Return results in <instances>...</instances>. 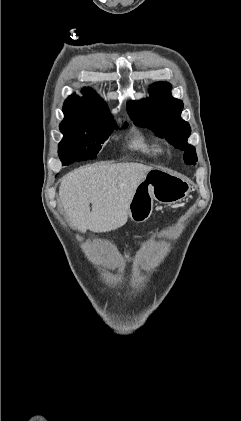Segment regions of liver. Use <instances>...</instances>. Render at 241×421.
Wrapping results in <instances>:
<instances>
[{"mask_svg":"<svg viewBox=\"0 0 241 421\" xmlns=\"http://www.w3.org/2000/svg\"><path fill=\"white\" fill-rule=\"evenodd\" d=\"M152 169L134 162L80 167L62 178L60 203L70 222L83 233L116 230L126 223L130 200Z\"/></svg>","mask_w":241,"mask_h":421,"instance_id":"obj_1","label":"liver"}]
</instances>
